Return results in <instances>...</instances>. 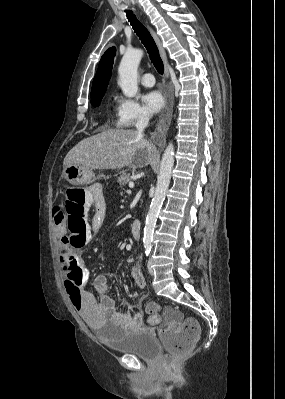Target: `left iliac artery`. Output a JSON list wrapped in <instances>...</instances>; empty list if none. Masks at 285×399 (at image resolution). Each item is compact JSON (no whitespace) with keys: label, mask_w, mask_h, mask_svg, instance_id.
<instances>
[{"label":"left iliac artery","mask_w":285,"mask_h":399,"mask_svg":"<svg viewBox=\"0 0 285 399\" xmlns=\"http://www.w3.org/2000/svg\"><path fill=\"white\" fill-rule=\"evenodd\" d=\"M151 249L147 248L145 251L146 256H149Z\"/></svg>","instance_id":"obj_1"}]
</instances>
